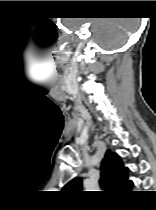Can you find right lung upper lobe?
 Here are the masks:
<instances>
[{
	"label": "right lung upper lobe",
	"instance_id": "1",
	"mask_svg": "<svg viewBox=\"0 0 156 210\" xmlns=\"http://www.w3.org/2000/svg\"><path fill=\"white\" fill-rule=\"evenodd\" d=\"M100 185L104 190H115L117 192H129L133 186L128 180V168H126L121 158L111 150H107L101 163ZM66 187L76 190L82 189V179L74 178Z\"/></svg>",
	"mask_w": 156,
	"mask_h": 210
}]
</instances>
